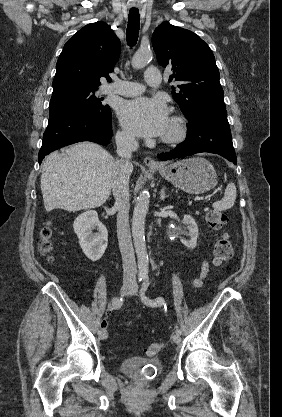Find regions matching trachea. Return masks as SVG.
I'll return each mask as SVG.
<instances>
[{
    "instance_id": "obj_1",
    "label": "trachea",
    "mask_w": 282,
    "mask_h": 417,
    "mask_svg": "<svg viewBox=\"0 0 282 417\" xmlns=\"http://www.w3.org/2000/svg\"><path fill=\"white\" fill-rule=\"evenodd\" d=\"M140 28V15L138 10H130L126 30V40L129 46L137 43Z\"/></svg>"
}]
</instances>
